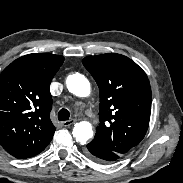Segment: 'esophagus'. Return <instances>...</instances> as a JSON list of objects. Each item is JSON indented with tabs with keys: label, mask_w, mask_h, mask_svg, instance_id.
Listing matches in <instances>:
<instances>
[{
	"label": "esophagus",
	"mask_w": 183,
	"mask_h": 183,
	"mask_svg": "<svg viewBox=\"0 0 183 183\" xmlns=\"http://www.w3.org/2000/svg\"><path fill=\"white\" fill-rule=\"evenodd\" d=\"M75 123V119H70L68 121H62L61 124L64 127H69Z\"/></svg>",
	"instance_id": "esophagus-1"
}]
</instances>
